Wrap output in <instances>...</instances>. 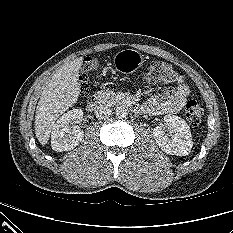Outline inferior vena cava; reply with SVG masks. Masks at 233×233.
Returning <instances> with one entry per match:
<instances>
[{
    "instance_id": "1",
    "label": "inferior vena cava",
    "mask_w": 233,
    "mask_h": 233,
    "mask_svg": "<svg viewBox=\"0 0 233 233\" xmlns=\"http://www.w3.org/2000/svg\"><path fill=\"white\" fill-rule=\"evenodd\" d=\"M112 114V109L106 103H101L95 110V115L98 119H106Z\"/></svg>"
}]
</instances>
